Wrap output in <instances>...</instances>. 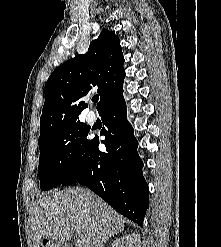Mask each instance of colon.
I'll use <instances>...</instances> for the list:
<instances>
[{"mask_svg":"<svg viewBox=\"0 0 221 247\" xmlns=\"http://www.w3.org/2000/svg\"><path fill=\"white\" fill-rule=\"evenodd\" d=\"M44 247H67V246L57 242H49L45 244Z\"/></svg>","mask_w":221,"mask_h":247,"instance_id":"colon-1","label":"colon"}]
</instances>
